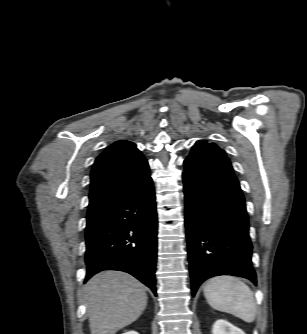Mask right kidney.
Returning a JSON list of instances; mask_svg holds the SVG:
<instances>
[{"mask_svg":"<svg viewBox=\"0 0 307 334\" xmlns=\"http://www.w3.org/2000/svg\"><path fill=\"white\" fill-rule=\"evenodd\" d=\"M122 334H139V333L132 330V331H128V332H125V333H122Z\"/></svg>","mask_w":307,"mask_h":334,"instance_id":"ca27d5eb","label":"right kidney"}]
</instances>
